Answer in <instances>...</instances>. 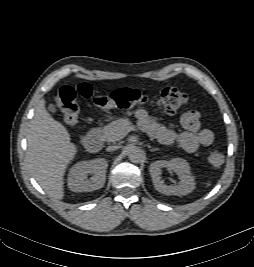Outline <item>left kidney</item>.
I'll return each instance as SVG.
<instances>
[{"mask_svg": "<svg viewBox=\"0 0 254 267\" xmlns=\"http://www.w3.org/2000/svg\"><path fill=\"white\" fill-rule=\"evenodd\" d=\"M164 168L178 175L180 181L177 185L168 186L164 183L161 177ZM149 171L155 189L162 194L182 196L191 193L195 188L194 177L191 175L190 166L185 159L158 160L150 165Z\"/></svg>", "mask_w": 254, "mask_h": 267, "instance_id": "left-kidney-1", "label": "left kidney"}]
</instances>
